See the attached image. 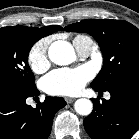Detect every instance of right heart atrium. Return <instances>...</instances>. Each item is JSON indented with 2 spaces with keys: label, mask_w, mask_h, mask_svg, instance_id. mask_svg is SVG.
<instances>
[{
  "label": "right heart atrium",
  "mask_w": 139,
  "mask_h": 139,
  "mask_svg": "<svg viewBox=\"0 0 139 139\" xmlns=\"http://www.w3.org/2000/svg\"><path fill=\"white\" fill-rule=\"evenodd\" d=\"M28 63L34 72H43L49 65L47 57V41H37L28 52Z\"/></svg>",
  "instance_id": "obj_1"
}]
</instances>
